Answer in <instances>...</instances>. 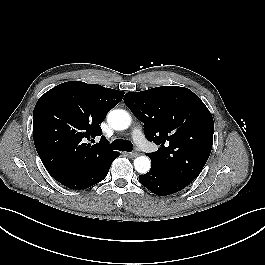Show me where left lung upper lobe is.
I'll list each match as a JSON object with an SVG mask.
<instances>
[{"label": "left lung upper lobe", "mask_w": 265, "mask_h": 265, "mask_svg": "<svg viewBox=\"0 0 265 265\" xmlns=\"http://www.w3.org/2000/svg\"><path fill=\"white\" fill-rule=\"evenodd\" d=\"M125 104L144 123L145 136L160 145L148 153L152 166L192 182L202 171L213 144L214 121L191 90L162 86L124 96Z\"/></svg>", "instance_id": "5c2ea615"}]
</instances>
